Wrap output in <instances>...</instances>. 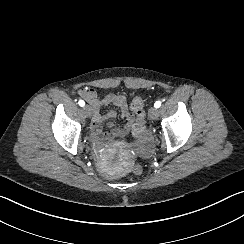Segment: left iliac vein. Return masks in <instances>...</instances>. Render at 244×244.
I'll return each mask as SVG.
<instances>
[{
    "label": "left iliac vein",
    "mask_w": 244,
    "mask_h": 244,
    "mask_svg": "<svg viewBox=\"0 0 244 244\" xmlns=\"http://www.w3.org/2000/svg\"><path fill=\"white\" fill-rule=\"evenodd\" d=\"M159 111L156 107H151L148 111V115L151 119H156L158 117Z\"/></svg>",
    "instance_id": "left-iliac-vein-1"
}]
</instances>
